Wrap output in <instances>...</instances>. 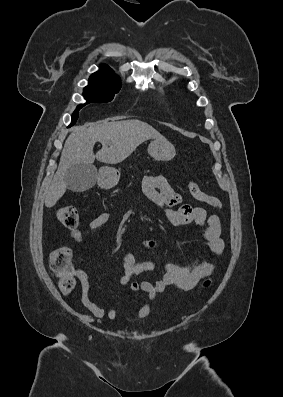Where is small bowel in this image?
<instances>
[{"label":"small bowel","mask_w":283,"mask_h":397,"mask_svg":"<svg viewBox=\"0 0 283 397\" xmlns=\"http://www.w3.org/2000/svg\"><path fill=\"white\" fill-rule=\"evenodd\" d=\"M142 191L147 199L158 207L164 214L167 221L172 225H183L194 222L202 228V238L206 246V256L200 260H195L190 264L181 266L176 264H166L163 267V275L157 281L143 280L132 282L135 276L148 272L155 268L152 261H137L132 253L123 257L122 267L124 273L119 277L120 285L130 284V292L142 290L149 298L155 299L157 294L165 291L169 287H176L181 290L194 288L200 280L210 275L216 268L219 258L224 250V241L221 238V221L217 215H208L200 207H193L182 201L181 196L171 187L167 180L161 176H145L142 181ZM110 212H103L92 219L85 230L74 229L70 232V237L75 242H82L88 232L95 231L112 219ZM149 243V246H152ZM75 275L81 287L82 304L90 311L93 317L100 319L107 316L111 321H115L121 310L119 306L106 311L99 306L90 294L88 276L80 268L75 270ZM146 303L138 312L137 318L143 319L151 311V303Z\"/></svg>","instance_id":"obj_1"}]
</instances>
